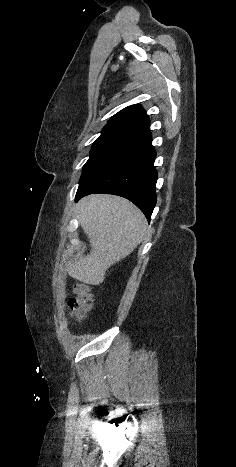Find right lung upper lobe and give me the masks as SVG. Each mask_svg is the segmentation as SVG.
Masks as SVG:
<instances>
[{"label":"right lung upper lobe","instance_id":"cb5924a9","mask_svg":"<svg viewBox=\"0 0 236 467\" xmlns=\"http://www.w3.org/2000/svg\"><path fill=\"white\" fill-rule=\"evenodd\" d=\"M150 121L144 109L136 104L115 114L104 128H118L137 132L142 135L150 131Z\"/></svg>","mask_w":236,"mask_h":467}]
</instances>
